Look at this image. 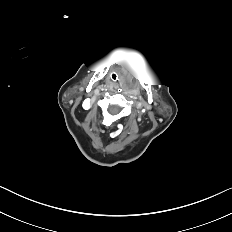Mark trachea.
<instances>
[{"label": "trachea", "instance_id": "obj_1", "mask_svg": "<svg viewBox=\"0 0 232 232\" xmlns=\"http://www.w3.org/2000/svg\"><path fill=\"white\" fill-rule=\"evenodd\" d=\"M109 78L112 82H117L118 81V74L115 73V72H112L110 75H109Z\"/></svg>", "mask_w": 232, "mask_h": 232}]
</instances>
